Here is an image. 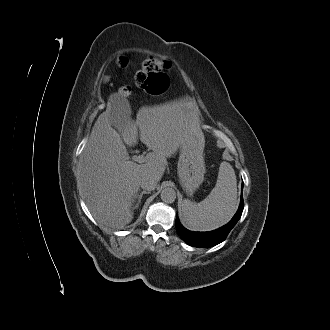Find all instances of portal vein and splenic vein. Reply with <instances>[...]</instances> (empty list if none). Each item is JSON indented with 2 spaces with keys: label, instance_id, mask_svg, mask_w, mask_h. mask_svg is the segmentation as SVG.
Segmentation results:
<instances>
[{
  "label": "portal vein and splenic vein",
  "instance_id": "1",
  "mask_svg": "<svg viewBox=\"0 0 330 330\" xmlns=\"http://www.w3.org/2000/svg\"><path fill=\"white\" fill-rule=\"evenodd\" d=\"M134 160L138 163H143V162H145V157L143 155H138L135 157Z\"/></svg>",
  "mask_w": 330,
  "mask_h": 330
}]
</instances>
